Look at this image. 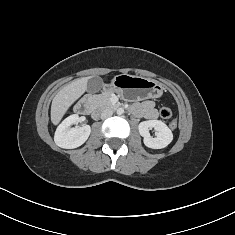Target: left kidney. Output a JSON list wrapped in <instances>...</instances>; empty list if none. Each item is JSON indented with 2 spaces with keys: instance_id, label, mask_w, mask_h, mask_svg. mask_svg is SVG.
I'll return each instance as SVG.
<instances>
[{
  "instance_id": "5707ae66",
  "label": "left kidney",
  "mask_w": 235,
  "mask_h": 235,
  "mask_svg": "<svg viewBox=\"0 0 235 235\" xmlns=\"http://www.w3.org/2000/svg\"><path fill=\"white\" fill-rule=\"evenodd\" d=\"M154 128L155 138H153L149 129ZM139 133L143 137L145 146L152 149H162L168 146L173 140L172 131L169 127L160 120L143 121L138 126Z\"/></svg>"
}]
</instances>
